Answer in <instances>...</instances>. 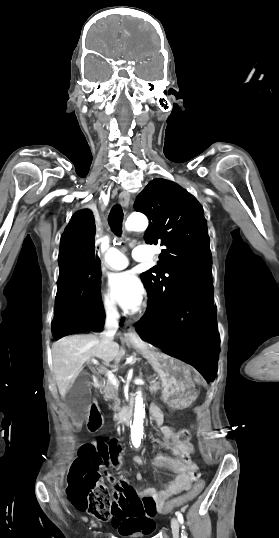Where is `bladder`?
I'll return each instance as SVG.
<instances>
[{
    "mask_svg": "<svg viewBox=\"0 0 279 538\" xmlns=\"http://www.w3.org/2000/svg\"><path fill=\"white\" fill-rule=\"evenodd\" d=\"M132 538H139V535L138 534H133Z\"/></svg>",
    "mask_w": 279,
    "mask_h": 538,
    "instance_id": "obj_1",
    "label": "bladder"
}]
</instances>
